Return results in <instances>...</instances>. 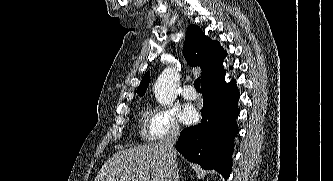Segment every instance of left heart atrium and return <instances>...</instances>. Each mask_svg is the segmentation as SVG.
<instances>
[{"label": "left heart atrium", "instance_id": "39dd6f15", "mask_svg": "<svg viewBox=\"0 0 333 181\" xmlns=\"http://www.w3.org/2000/svg\"><path fill=\"white\" fill-rule=\"evenodd\" d=\"M179 118L182 123H192L196 118V111L192 105H184L179 113Z\"/></svg>", "mask_w": 333, "mask_h": 181}]
</instances>
